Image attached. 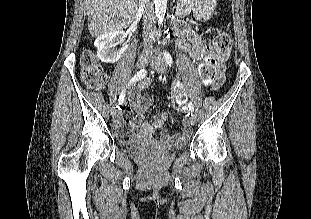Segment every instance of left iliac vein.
Listing matches in <instances>:
<instances>
[{
	"mask_svg": "<svg viewBox=\"0 0 311 219\" xmlns=\"http://www.w3.org/2000/svg\"><path fill=\"white\" fill-rule=\"evenodd\" d=\"M151 66L157 71V72H160V73H163L166 71L167 69V66H166V63L165 61L159 57L156 61L152 62ZM189 122L190 124L194 125L196 123V116L195 114H192L190 117H189Z\"/></svg>",
	"mask_w": 311,
	"mask_h": 219,
	"instance_id": "obj_1",
	"label": "left iliac vein"
}]
</instances>
